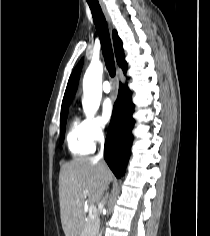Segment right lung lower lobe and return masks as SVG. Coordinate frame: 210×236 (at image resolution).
Segmentation results:
<instances>
[{"instance_id":"obj_1","label":"right lung lower lobe","mask_w":210,"mask_h":236,"mask_svg":"<svg viewBox=\"0 0 210 236\" xmlns=\"http://www.w3.org/2000/svg\"><path fill=\"white\" fill-rule=\"evenodd\" d=\"M133 110L131 93L120 84L104 146V158L117 178L123 176L130 155Z\"/></svg>"}]
</instances>
